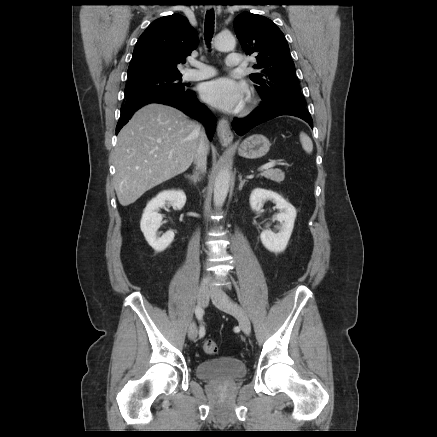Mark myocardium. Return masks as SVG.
Listing matches in <instances>:
<instances>
[{"mask_svg":"<svg viewBox=\"0 0 437 437\" xmlns=\"http://www.w3.org/2000/svg\"><path fill=\"white\" fill-rule=\"evenodd\" d=\"M254 102H255L254 99H251V100H250V104H253Z\"/></svg>","mask_w":437,"mask_h":437,"instance_id":"1","label":"myocardium"}]
</instances>
